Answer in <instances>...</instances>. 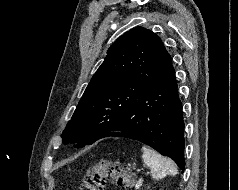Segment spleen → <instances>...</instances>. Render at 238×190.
I'll list each match as a JSON object with an SVG mask.
<instances>
[{
	"mask_svg": "<svg viewBox=\"0 0 238 190\" xmlns=\"http://www.w3.org/2000/svg\"><path fill=\"white\" fill-rule=\"evenodd\" d=\"M144 164L151 169V176L154 179H162L166 175L175 176L178 172L175 163L167 158L163 157L153 149L146 146L142 147Z\"/></svg>",
	"mask_w": 238,
	"mask_h": 190,
	"instance_id": "1",
	"label": "spleen"
}]
</instances>
